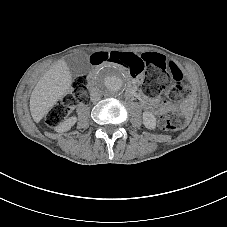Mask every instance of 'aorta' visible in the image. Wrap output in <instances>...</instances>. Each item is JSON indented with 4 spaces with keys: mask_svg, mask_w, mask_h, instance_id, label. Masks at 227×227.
<instances>
[{
    "mask_svg": "<svg viewBox=\"0 0 227 227\" xmlns=\"http://www.w3.org/2000/svg\"><path fill=\"white\" fill-rule=\"evenodd\" d=\"M95 88L103 96L111 97L117 95L124 88L123 74L116 67H104L96 76Z\"/></svg>",
    "mask_w": 227,
    "mask_h": 227,
    "instance_id": "aorta-1",
    "label": "aorta"
}]
</instances>
